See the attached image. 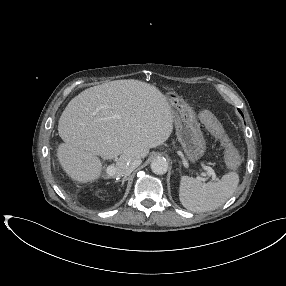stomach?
Listing matches in <instances>:
<instances>
[{
	"instance_id": "0dacf381",
	"label": "stomach",
	"mask_w": 286,
	"mask_h": 286,
	"mask_svg": "<svg viewBox=\"0 0 286 286\" xmlns=\"http://www.w3.org/2000/svg\"><path fill=\"white\" fill-rule=\"evenodd\" d=\"M167 99L172 111L178 141L191 162L199 160L206 151V141L192 108L175 92Z\"/></svg>"
}]
</instances>
